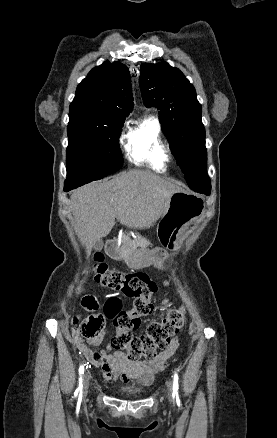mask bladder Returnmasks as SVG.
Returning <instances> with one entry per match:
<instances>
[{
    "instance_id": "31cf9c89",
    "label": "bladder",
    "mask_w": 277,
    "mask_h": 438,
    "mask_svg": "<svg viewBox=\"0 0 277 438\" xmlns=\"http://www.w3.org/2000/svg\"><path fill=\"white\" fill-rule=\"evenodd\" d=\"M149 393L148 389H125V388H119L114 390L113 394L116 396H121L125 398H140Z\"/></svg>"
}]
</instances>
